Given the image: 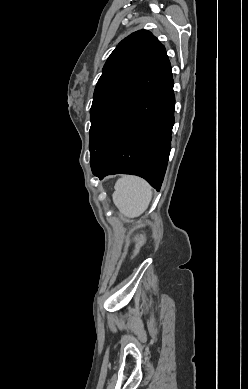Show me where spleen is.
I'll return each instance as SVG.
<instances>
[{"label":"spleen","mask_w":248,"mask_h":389,"mask_svg":"<svg viewBox=\"0 0 248 389\" xmlns=\"http://www.w3.org/2000/svg\"><path fill=\"white\" fill-rule=\"evenodd\" d=\"M112 198L122 215L135 218L148 208L152 199V188L140 177L123 176L117 180Z\"/></svg>","instance_id":"1"}]
</instances>
